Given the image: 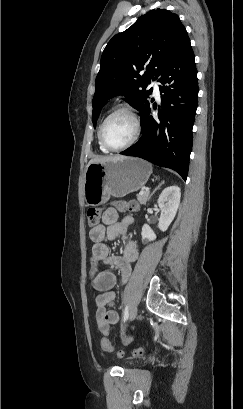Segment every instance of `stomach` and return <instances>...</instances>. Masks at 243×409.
Instances as JSON below:
<instances>
[{
    "label": "stomach",
    "instance_id": "stomach-1",
    "mask_svg": "<svg viewBox=\"0 0 243 409\" xmlns=\"http://www.w3.org/2000/svg\"><path fill=\"white\" fill-rule=\"evenodd\" d=\"M152 172L151 165L139 158L117 157L105 162L89 163L83 183L87 206H99L111 196L124 197L141 189Z\"/></svg>",
    "mask_w": 243,
    "mask_h": 409
}]
</instances>
